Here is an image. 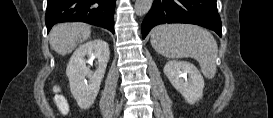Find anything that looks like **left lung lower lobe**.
Returning a JSON list of instances; mask_svg holds the SVG:
<instances>
[{
	"mask_svg": "<svg viewBox=\"0 0 273 118\" xmlns=\"http://www.w3.org/2000/svg\"><path fill=\"white\" fill-rule=\"evenodd\" d=\"M165 23L195 24L222 35L216 0H154L141 26L142 37L153 27Z\"/></svg>",
	"mask_w": 273,
	"mask_h": 118,
	"instance_id": "0a47b994",
	"label": "left lung lower lobe"
}]
</instances>
